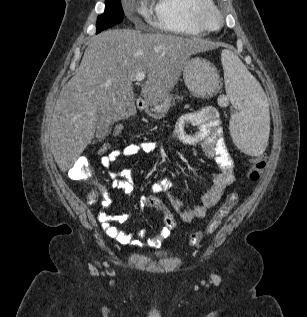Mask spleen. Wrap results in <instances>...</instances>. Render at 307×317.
<instances>
[{
	"mask_svg": "<svg viewBox=\"0 0 307 317\" xmlns=\"http://www.w3.org/2000/svg\"><path fill=\"white\" fill-rule=\"evenodd\" d=\"M226 92L238 112L230 120V133L235 145L251 156L262 154L269 137V111L264 92L239 57L223 50Z\"/></svg>",
	"mask_w": 307,
	"mask_h": 317,
	"instance_id": "obj_1",
	"label": "spleen"
}]
</instances>
